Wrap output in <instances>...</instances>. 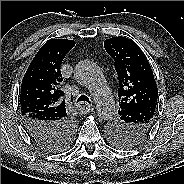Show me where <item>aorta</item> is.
I'll use <instances>...</instances> for the list:
<instances>
[{"label": "aorta", "mask_w": 184, "mask_h": 184, "mask_svg": "<svg viewBox=\"0 0 184 184\" xmlns=\"http://www.w3.org/2000/svg\"><path fill=\"white\" fill-rule=\"evenodd\" d=\"M76 79L91 93L98 117L108 120L115 114V101L100 68L90 60H82L74 70Z\"/></svg>", "instance_id": "obj_1"}]
</instances>
